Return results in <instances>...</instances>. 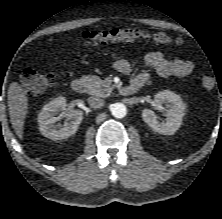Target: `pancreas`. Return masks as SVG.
I'll return each instance as SVG.
<instances>
[{"label":"pancreas","instance_id":"obj_1","mask_svg":"<svg viewBox=\"0 0 222 219\" xmlns=\"http://www.w3.org/2000/svg\"><path fill=\"white\" fill-rule=\"evenodd\" d=\"M87 86V93L90 95H96L100 97H107L112 91V87L106 84L97 76L87 75L83 76Z\"/></svg>","mask_w":222,"mask_h":219}]
</instances>
